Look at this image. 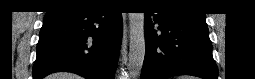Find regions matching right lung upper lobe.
<instances>
[{"label": "right lung upper lobe", "mask_w": 255, "mask_h": 79, "mask_svg": "<svg viewBox=\"0 0 255 79\" xmlns=\"http://www.w3.org/2000/svg\"><path fill=\"white\" fill-rule=\"evenodd\" d=\"M54 4L50 7V10L47 12H56L63 9L69 8H92L97 6L96 4L86 3L84 1H75V0H62V1H55Z\"/></svg>", "instance_id": "cb5924a9"}]
</instances>
